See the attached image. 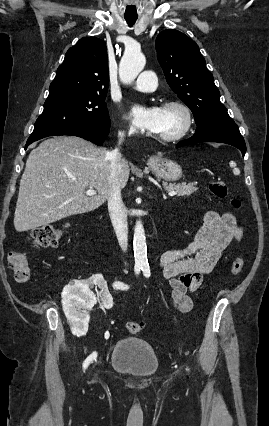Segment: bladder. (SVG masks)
<instances>
[{
	"label": "bladder",
	"instance_id": "1",
	"mask_svg": "<svg viewBox=\"0 0 269 426\" xmlns=\"http://www.w3.org/2000/svg\"><path fill=\"white\" fill-rule=\"evenodd\" d=\"M110 364L128 374L149 376L157 371L159 361L148 342L138 337H125L114 345Z\"/></svg>",
	"mask_w": 269,
	"mask_h": 426
}]
</instances>
